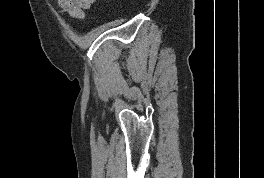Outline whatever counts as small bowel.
Returning <instances> with one entry per match:
<instances>
[{
	"label": "small bowel",
	"instance_id": "small-bowel-1",
	"mask_svg": "<svg viewBox=\"0 0 264 178\" xmlns=\"http://www.w3.org/2000/svg\"><path fill=\"white\" fill-rule=\"evenodd\" d=\"M61 11L74 19H83L95 0H56Z\"/></svg>",
	"mask_w": 264,
	"mask_h": 178
}]
</instances>
